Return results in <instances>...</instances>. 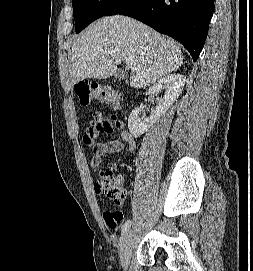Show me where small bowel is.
<instances>
[{"instance_id": "1", "label": "small bowel", "mask_w": 253, "mask_h": 271, "mask_svg": "<svg viewBox=\"0 0 253 271\" xmlns=\"http://www.w3.org/2000/svg\"><path fill=\"white\" fill-rule=\"evenodd\" d=\"M114 130H119L121 141L113 140L106 143L97 141L101 135L110 134ZM83 142L92 150L90 168L93 172H96L99 169L102 158L105 155L118 153L123 150L124 146L122 142L127 144V151L130 153L136 148L135 139L133 135L125 129V124L123 121L118 119H103L99 115H94L90 119L86 132L83 136ZM117 180L121 181L120 178H117Z\"/></svg>"}]
</instances>
